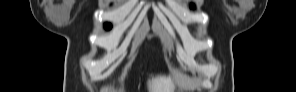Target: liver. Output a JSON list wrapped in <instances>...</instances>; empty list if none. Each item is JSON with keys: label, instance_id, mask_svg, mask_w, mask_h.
<instances>
[{"label": "liver", "instance_id": "obj_1", "mask_svg": "<svg viewBox=\"0 0 296 92\" xmlns=\"http://www.w3.org/2000/svg\"><path fill=\"white\" fill-rule=\"evenodd\" d=\"M181 76V75H180ZM185 79V77H183ZM185 85L188 83L185 81ZM148 92H174L175 85L170 76L157 75L147 81Z\"/></svg>", "mask_w": 296, "mask_h": 92}]
</instances>
